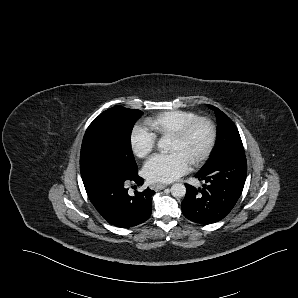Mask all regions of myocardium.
<instances>
[{"label":"myocardium","mask_w":298,"mask_h":298,"mask_svg":"<svg viewBox=\"0 0 298 298\" xmlns=\"http://www.w3.org/2000/svg\"><path fill=\"white\" fill-rule=\"evenodd\" d=\"M197 125H202L204 127L205 141L199 152L190 160L189 166L195 165L208 154L213 141V127L211 122L205 117H197L187 123L179 125L162 138V142L166 140L180 139L188 134Z\"/></svg>","instance_id":"1"}]
</instances>
